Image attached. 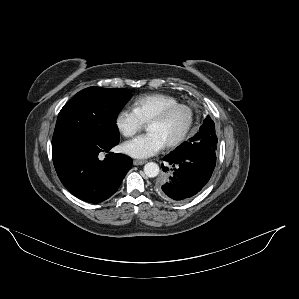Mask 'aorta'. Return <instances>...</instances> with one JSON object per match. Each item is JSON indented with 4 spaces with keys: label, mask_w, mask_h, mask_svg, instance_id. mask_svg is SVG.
<instances>
[{
    "label": "aorta",
    "mask_w": 299,
    "mask_h": 299,
    "mask_svg": "<svg viewBox=\"0 0 299 299\" xmlns=\"http://www.w3.org/2000/svg\"><path fill=\"white\" fill-rule=\"evenodd\" d=\"M144 173L146 176L153 178L159 174V166L155 162H149L144 166Z\"/></svg>",
    "instance_id": "aorta-1"
}]
</instances>
